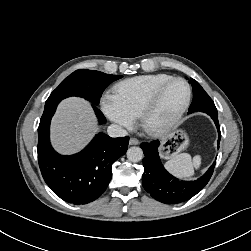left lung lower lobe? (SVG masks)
Segmentation results:
<instances>
[{
	"label": "left lung lower lobe",
	"mask_w": 251,
	"mask_h": 251,
	"mask_svg": "<svg viewBox=\"0 0 251 251\" xmlns=\"http://www.w3.org/2000/svg\"><path fill=\"white\" fill-rule=\"evenodd\" d=\"M198 98V96H197ZM197 101V99H195ZM200 107V105H199ZM199 111L203 112L200 107ZM211 116L218 130V148L221 139L220 127L218 122V114L205 112ZM160 142L158 140L150 143H141L144 158V173L142 176V184L144 189L150 195L165 204H177L189 200L199 193L209 182L216 162H214L207 172L195 181H182L169 174L163 167L158 153Z\"/></svg>",
	"instance_id": "1"
}]
</instances>
